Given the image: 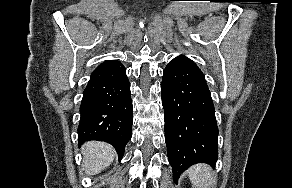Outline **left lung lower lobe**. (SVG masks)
<instances>
[{"mask_svg": "<svg viewBox=\"0 0 292 188\" xmlns=\"http://www.w3.org/2000/svg\"><path fill=\"white\" fill-rule=\"evenodd\" d=\"M165 141L173 176L196 163L215 166L218 127L210 91L198 66L185 56L172 59L163 72Z\"/></svg>", "mask_w": 292, "mask_h": 188, "instance_id": "0a47b994", "label": "left lung lower lobe"}]
</instances>
